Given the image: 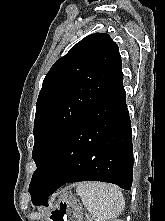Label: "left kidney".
I'll return each mask as SVG.
<instances>
[{"mask_svg": "<svg viewBox=\"0 0 165 221\" xmlns=\"http://www.w3.org/2000/svg\"><path fill=\"white\" fill-rule=\"evenodd\" d=\"M115 221H123V220H115Z\"/></svg>", "mask_w": 165, "mask_h": 221, "instance_id": "left-kidney-1", "label": "left kidney"}]
</instances>
